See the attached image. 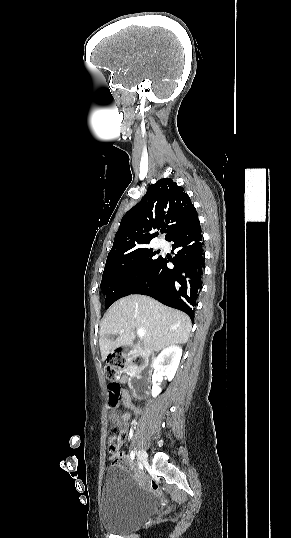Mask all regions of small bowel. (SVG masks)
<instances>
[{"instance_id": "1", "label": "small bowel", "mask_w": 291, "mask_h": 538, "mask_svg": "<svg viewBox=\"0 0 291 538\" xmlns=\"http://www.w3.org/2000/svg\"><path fill=\"white\" fill-rule=\"evenodd\" d=\"M130 382V378L128 376H122L118 379L119 385H126ZM120 402L124 408H126L128 411L123 412L121 414L118 413L117 407L112 408L111 412L109 413L110 420L117 425L122 433L125 435L128 430L127 422L131 418V414L129 411L140 414L142 411L139 407L135 406L134 403L131 400V397L126 389L122 388L120 386ZM113 460L121 465H129V459L126 455L119 453L113 456Z\"/></svg>"}]
</instances>
